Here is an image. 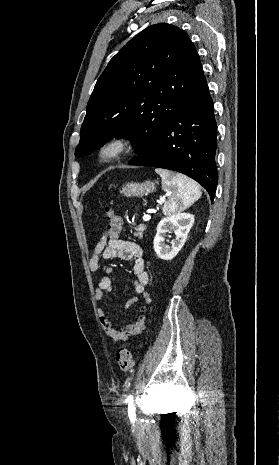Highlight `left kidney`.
<instances>
[{
    "label": "left kidney",
    "instance_id": "left-kidney-1",
    "mask_svg": "<svg viewBox=\"0 0 279 465\" xmlns=\"http://www.w3.org/2000/svg\"><path fill=\"white\" fill-rule=\"evenodd\" d=\"M194 216L189 213H176L163 218L157 225V233L153 241L156 255L163 260H172L182 249L187 235L193 226ZM173 232L175 239L171 246L165 243L167 233ZM171 237V236H169Z\"/></svg>",
    "mask_w": 279,
    "mask_h": 465
}]
</instances>
